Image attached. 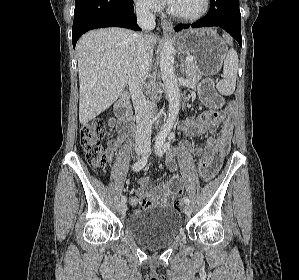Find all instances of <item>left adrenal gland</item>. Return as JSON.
Returning <instances> with one entry per match:
<instances>
[{
	"mask_svg": "<svg viewBox=\"0 0 299 280\" xmlns=\"http://www.w3.org/2000/svg\"><path fill=\"white\" fill-rule=\"evenodd\" d=\"M180 70H181V73L184 74L183 59H182V61H181V68H180Z\"/></svg>",
	"mask_w": 299,
	"mask_h": 280,
	"instance_id": "obj_1",
	"label": "left adrenal gland"
}]
</instances>
